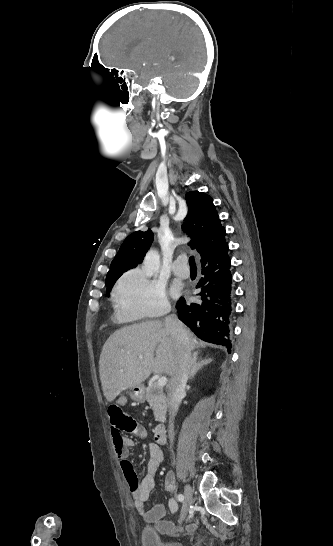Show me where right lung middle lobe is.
<instances>
[{
    "mask_svg": "<svg viewBox=\"0 0 333 546\" xmlns=\"http://www.w3.org/2000/svg\"><path fill=\"white\" fill-rule=\"evenodd\" d=\"M127 270L119 271V272H113L110 275H107L106 277V286H107V292H110L112 289V286L116 282V280L123 274V272H126Z\"/></svg>",
    "mask_w": 333,
    "mask_h": 546,
    "instance_id": "1",
    "label": "right lung middle lobe"
}]
</instances>
